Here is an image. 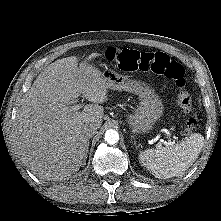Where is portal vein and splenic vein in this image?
I'll return each mask as SVG.
<instances>
[{
	"label": "portal vein and splenic vein",
	"instance_id": "1",
	"mask_svg": "<svg viewBox=\"0 0 221 221\" xmlns=\"http://www.w3.org/2000/svg\"><path fill=\"white\" fill-rule=\"evenodd\" d=\"M81 107H82L81 105L77 104V105L72 106V110H73V111H77V110H79ZM166 134H167V137L169 138V141L166 142V141H163V140H162L161 142H163L164 144H173L174 141L178 139V137L173 136V138H174L175 140L171 141V134H170L169 132H166Z\"/></svg>",
	"mask_w": 221,
	"mask_h": 221
}]
</instances>
